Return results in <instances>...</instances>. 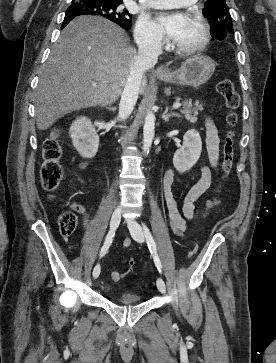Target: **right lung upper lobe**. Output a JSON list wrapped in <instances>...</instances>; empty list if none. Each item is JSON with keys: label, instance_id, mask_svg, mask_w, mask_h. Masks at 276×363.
I'll return each instance as SVG.
<instances>
[{"label": "right lung upper lobe", "instance_id": "cb5924a9", "mask_svg": "<svg viewBox=\"0 0 276 363\" xmlns=\"http://www.w3.org/2000/svg\"><path fill=\"white\" fill-rule=\"evenodd\" d=\"M103 1H109V2L122 3V0H103Z\"/></svg>", "mask_w": 276, "mask_h": 363}]
</instances>
